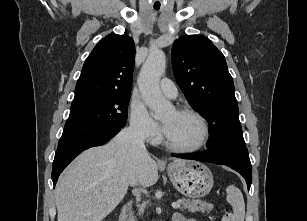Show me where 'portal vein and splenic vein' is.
Segmentation results:
<instances>
[{
	"label": "portal vein and splenic vein",
	"instance_id": "obj_1",
	"mask_svg": "<svg viewBox=\"0 0 307 221\" xmlns=\"http://www.w3.org/2000/svg\"><path fill=\"white\" fill-rule=\"evenodd\" d=\"M141 190H142L143 193H147V190H146V189H141ZM172 207H173L174 209H178V208H180V204H179L178 202H173V203H172Z\"/></svg>",
	"mask_w": 307,
	"mask_h": 221
}]
</instances>
